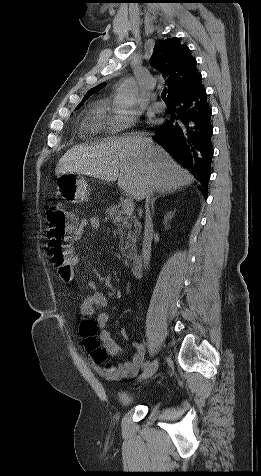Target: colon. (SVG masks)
Segmentation results:
<instances>
[{
  "instance_id": "1",
  "label": "colon",
  "mask_w": 261,
  "mask_h": 476,
  "mask_svg": "<svg viewBox=\"0 0 261 476\" xmlns=\"http://www.w3.org/2000/svg\"><path fill=\"white\" fill-rule=\"evenodd\" d=\"M47 219V251L50 260L57 268L59 275L66 281L72 278L70 266V243L75 237L78 223L71 213L67 212L63 205L54 201L46 208ZM86 349L94 359L102 363L106 359V352L100 348L96 339V327L92 319H84L80 327Z\"/></svg>"
}]
</instances>
